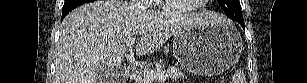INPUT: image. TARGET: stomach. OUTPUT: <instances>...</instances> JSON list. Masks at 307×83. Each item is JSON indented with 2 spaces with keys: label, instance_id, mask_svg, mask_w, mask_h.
Segmentation results:
<instances>
[{
  "label": "stomach",
  "instance_id": "1",
  "mask_svg": "<svg viewBox=\"0 0 307 83\" xmlns=\"http://www.w3.org/2000/svg\"><path fill=\"white\" fill-rule=\"evenodd\" d=\"M242 38L231 24L192 26L177 33L173 54L185 70L200 76L217 75L230 68L242 52Z\"/></svg>",
  "mask_w": 307,
  "mask_h": 83
}]
</instances>
